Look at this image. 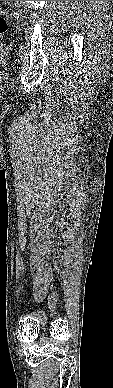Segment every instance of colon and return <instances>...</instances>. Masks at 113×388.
Here are the masks:
<instances>
[{
	"instance_id": "1",
	"label": "colon",
	"mask_w": 113,
	"mask_h": 388,
	"mask_svg": "<svg viewBox=\"0 0 113 388\" xmlns=\"http://www.w3.org/2000/svg\"><path fill=\"white\" fill-rule=\"evenodd\" d=\"M8 29V24L4 14L0 11V38H2Z\"/></svg>"
}]
</instances>
